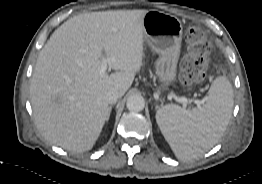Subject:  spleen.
Segmentation results:
<instances>
[{
    "label": "spleen",
    "instance_id": "obj_1",
    "mask_svg": "<svg viewBox=\"0 0 262 184\" xmlns=\"http://www.w3.org/2000/svg\"><path fill=\"white\" fill-rule=\"evenodd\" d=\"M233 98L230 81L219 76L201 107L186 110L167 104L157 110V124L178 159H195L218 143L229 124Z\"/></svg>",
    "mask_w": 262,
    "mask_h": 184
}]
</instances>
